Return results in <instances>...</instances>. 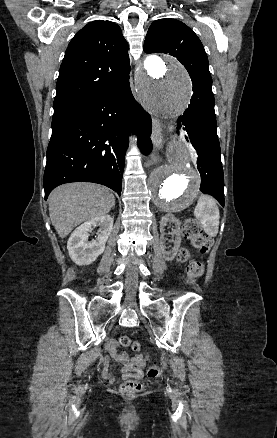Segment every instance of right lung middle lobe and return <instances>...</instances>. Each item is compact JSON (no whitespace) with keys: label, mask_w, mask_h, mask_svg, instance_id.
Listing matches in <instances>:
<instances>
[{"label":"right lung middle lobe","mask_w":277,"mask_h":438,"mask_svg":"<svg viewBox=\"0 0 277 438\" xmlns=\"http://www.w3.org/2000/svg\"><path fill=\"white\" fill-rule=\"evenodd\" d=\"M60 112H61V111H57V112L55 111L53 116L59 114Z\"/></svg>","instance_id":"1"}]
</instances>
